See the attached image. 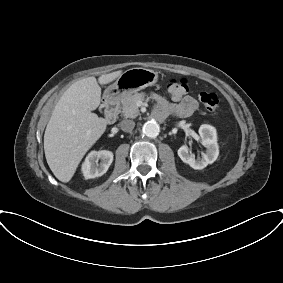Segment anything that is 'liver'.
I'll return each instance as SVG.
<instances>
[{
  "instance_id": "obj_1",
  "label": "liver",
  "mask_w": 283,
  "mask_h": 283,
  "mask_svg": "<svg viewBox=\"0 0 283 283\" xmlns=\"http://www.w3.org/2000/svg\"><path fill=\"white\" fill-rule=\"evenodd\" d=\"M121 71L87 77L73 83L56 104L44 134L47 163L55 177L67 183L86 152L102 136L107 121L92 113L101 101L100 84L118 78Z\"/></svg>"
}]
</instances>
